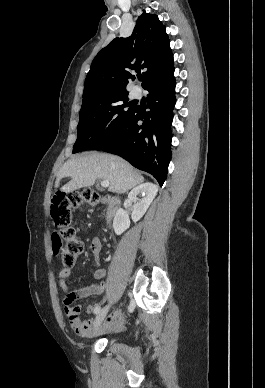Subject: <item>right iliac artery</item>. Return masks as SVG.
I'll use <instances>...</instances> for the list:
<instances>
[{
    "instance_id": "obj_1",
    "label": "right iliac artery",
    "mask_w": 265,
    "mask_h": 388,
    "mask_svg": "<svg viewBox=\"0 0 265 388\" xmlns=\"http://www.w3.org/2000/svg\"><path fill=\"white\" fill-rule=\"evenodd\" d=\"M100 309H101V308H100L99 306H98V307H96V308H95V310H94V314H98V313H99V311H100Z\"/></svg>"
}]
</instances>
